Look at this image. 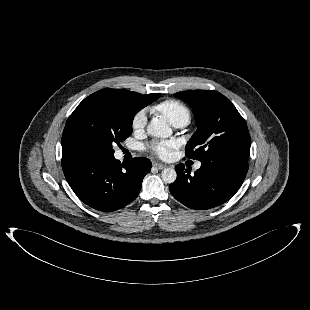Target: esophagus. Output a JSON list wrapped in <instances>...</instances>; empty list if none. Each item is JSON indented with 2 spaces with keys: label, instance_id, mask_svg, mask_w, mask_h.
<instances>
[{
  "label": "esophagus",
  "instance_id": "esophagus-1",
  "mask_svg": "<svg viewBox=\"0 0 310 310\" xmlns=\"http://www.w3.org/2000/svg\"><path fill=\"white\" fill-rule=\"evenodd\" d=\"M153 166L159 170H162L166 167L164 164H161V163H154Z\"/></svg>",
  "mask_w": 310,
  "mask_h": 310
}]
</instances>
